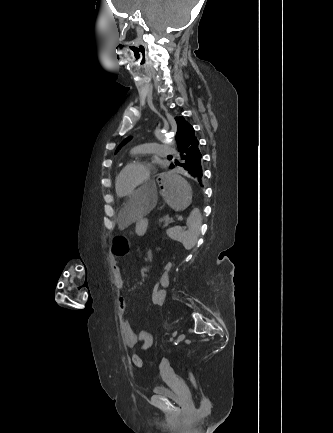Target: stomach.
I'll list each match as a JSON object with an SVG mask.
<instances>
[{"mask_svg":"<svg viewBox=\"0 0 333 433\" xmlns=\"http://www.w3.org/2000/svg\"><path fill=\"white\" fill-rule=\"evenodd\" d=\"M157 182L160 183V193L168 204L169 210H174L176 215H181L183 210H188L193 191L185 176L178 173L177 169H166L164 174L157 175ZM147 219L142 217L137 220L136 231L139 227L147 228Z\"/></svg>","mask_w":333,"mask_h":433,"instance_id":"1","label":"stomach"}]
</instances>
